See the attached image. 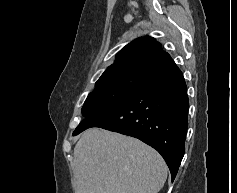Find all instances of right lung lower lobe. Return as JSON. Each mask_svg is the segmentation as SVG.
I'll return each instance as SVG.
<instances>
[{
    "label": "right lung lower lobe",
    "mask_w": 237,
    "mask_h": 193,
    "mask_svg": "<svg viewBox=\"0 0 237 193\" xmlns=\"http://www.w3.org/2000/svg\"><path fill=\"white\" fill-rule=\"evenodd\" d=\"M188 109L182 72L164 53L148 67L140 85L126 100L84 119L73 135L100 127L138 138L161 154L174 180L185 152Z\"/></svg>",
    "instance_id": "obj_1"
}]
</instances>
